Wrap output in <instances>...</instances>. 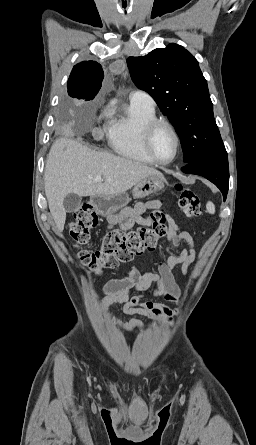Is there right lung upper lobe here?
I'll list each match as a JSON object with an SVG mask.
<instances>
[{"label":"right lung upper lobe","mask_w":256,"mask_h":445,"mask_svg":"<svg viewBox=\"0 0 256 445\" xmlns=\"http://www.w3.org/2000/svg\"><path fill=\"white\" fill-rule=\"evenodd\" d=\"M104 77L96 61H83L75 65L68 79V93L72 98L92 100L101 88Z\"/></svg>","instance_id":"cb5924a9"}]
</instances>
